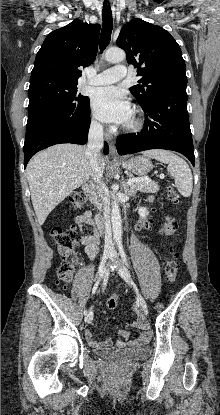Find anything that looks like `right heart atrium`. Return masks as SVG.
<instances>
[{
    "label": "right heart atrium",
    "instance_id": "obj_1",
    "mask_svg": "<svg viewBox=\"0 0 220 415\" xmlns=\"http://www.w3.org/2000/svg\"><path fill=\"white\" fill-rule=\"evenodd\" d=\"M91 125L94 129H97V130L101 129V124L98 121H96L95 119L91 120Z\"/></svg>",
    "mask_w": 220,
    "mask_h": 415
}]
</instances>
